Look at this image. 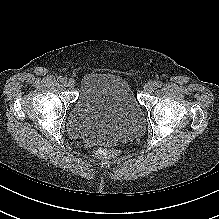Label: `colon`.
<instances>
[{"label": "colon", "instance_id": "colon-1", "mask_svg": "<svg viewBox=\"0 0 219 219\" xmlns=\"http://www.w3.org/2000/svg\"><path fill=\"white\" fill-rule=\"evenodd\" d=\"M95 155L102 159H113L118 155V152L111 148L102 147L95 151Z\"/></svg>", "mask_w": 219, "mask_h": 219}]
</instances>
